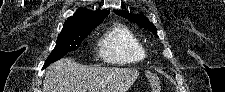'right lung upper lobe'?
I'll list each match as a JSON object with an SVG mask.
<instances>
[{"mask_svg": "<svg viewBox=\"0 0 225 92\" xmlns=\"http://www.w3.org/2000/svg\"><path fill=\"white\" fill-rule=\"evenodd\" d=\"M108 14V10L91 11L86 8H79L73 16L67 18L63 29H74L95 23L106 18Z\"/></svg>", "mask_w": 225, "mask_h": 92, "instance_id": "right-lung-upper-lobe-1", "label": "right lung upper lobe"}]
</instances>
